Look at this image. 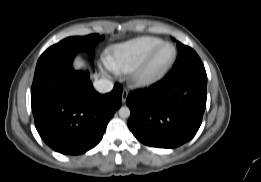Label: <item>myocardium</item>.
Wrapping results in <instances>:
<instances>
[{
	"mask_svg": "<svg viewBox=\"0 0 261 182\" xmlns=\"http://www.w3.org/2000/svg\"><path fill=\"white\" fill-rule=\"evenodd\" d=\"M165 46H171L173 48V56L170 61L161 69L151 72L149 70L151 62L155 56ZM177 57V49L173 43L162 42L156 46L138 65H136L129 73L130 82L137 87H146L160 81L170 70Z\"/></svg>",
	"mask_w": 261,
	"mask_h": 182,
	"instance_id": "obj_1",
	"label": "myocardium"
}]
</instances>
